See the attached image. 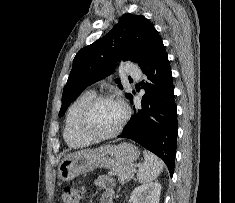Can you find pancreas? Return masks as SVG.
<instances>
[{
  "mask_svg": "<svg viewBox=\"0 0 235 203\" xmlns=\"http://www.w3.org/2000/svg\"><path fill=\"white\" fill-rule=\"evenodd\" d=\"M134 165H124L111 168L108 172L109 175H114L121 183H126L133 178L134 172H132Z\"/></svg>",
  "mask_w": 235,
  "mask_h": 203,
  "instance_id": "1",
  "label": "pancreas"
}]
</instances>
